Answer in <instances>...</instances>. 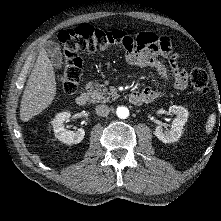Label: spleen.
<instances>
[{
    "instance_id": "3e777b00",
    "label": "spleen",
    "mask_w": 221,
    "mask_h": 221,
    "mask_svg": "<svg viewBox=\"0 0 221 221\" xmlns=\"http://www.w3.org/2000/svg\"><path fill=\"white\" fill-rule=\"evenodd\" d=\"M215 122H216V115L213 113L210 115L207 125H206L207 133H210L212 131V128L215 125Z\"/></svg>"
}]
</instances>
